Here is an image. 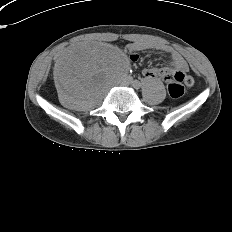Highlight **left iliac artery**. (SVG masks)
<instances>
[{
    "mask_svg": "<svg viewBox=\"0 0 232 232\" xmlns=\"http://www.w3.org/2000/svg\"><path fill=\"white\" fill-rule=\"evenodd\" d=\"M132 83H133L134 88L136 89H139V87L141 86V83L138 80H135Z\"/></svg>",
    "mask_w": 232,
    "mask_h": 232,
    "instance_id": "44dca946",
    "label": "left iliac artery"
}]
</instances>
